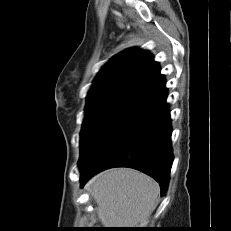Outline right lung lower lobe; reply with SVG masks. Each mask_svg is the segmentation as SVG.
Masks as SVG:
<instances>
[{"instance_id": "98d812e1", "label": "right lung lower lobe", "mask_w": 231, "mask_h": 231, "mask_svg": "<svg viewBox=\"0 0 231 231\" xmlns=\"http://www.w3.org/2000/svg\"><path fill=\"white\" fill-rule=\"evenodd\" d=\"M167 97L149 104L104 141L80 168L81 186L112 167H130L153 177L161 195L168 188L173 162L171 118Z\"/></svg>"}]
</instances>
